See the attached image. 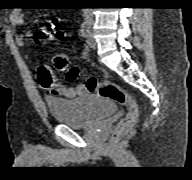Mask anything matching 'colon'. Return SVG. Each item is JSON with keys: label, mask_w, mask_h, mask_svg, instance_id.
<instances>
[{"label": "colon", "mask_w": 192, "mask_h": 180, "mask_svg": "<svg viewBox=\"0 0 192 180\" xmlns=\"http://www.w3.org/2000/svg\"><path fill=\"white\" fill-rule=\"evenodd\" d=\"M62 37V31L51 22L42 26L34 36L39 42L59 40ZM53 62L56 70L62 73L68 82H77L83 79L87 91L97 93L101 97L108 98L128 108L126 116L118 125L117 134L129 130L135 124L138 117V105L125 88L117 83L102 81L92 76L83 77L80 68L64 54L55 55Z\"/></svg>", "instance_id": "5ec220e1"}]
</instances>
